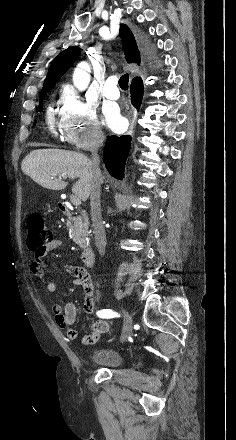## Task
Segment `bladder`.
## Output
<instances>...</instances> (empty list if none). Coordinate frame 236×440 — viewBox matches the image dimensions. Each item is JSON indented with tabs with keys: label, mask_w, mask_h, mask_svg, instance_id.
<instances>
[{
	"label": "bladder",
	"mask_w": 236,
	"mask_h": 440,
	"mask_svg": "<svg viewBox=\"0 0 236 440\" xmlns=\"http://www.w3.org/2000/svg\"><path fill=\"white\" fill-rule=\"evenodd\" d=\"M90 362L105 368H117L122 364L123 358L116 349L102 347L91 353Z\"/></svg>",
	"instance_id": "31cf9c89"
}]
</instances>
